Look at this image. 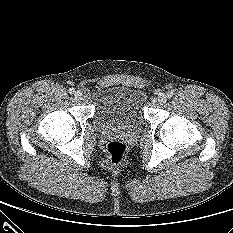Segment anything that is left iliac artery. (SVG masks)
Returning a JSON list of instances; mask_svg holds the SVG:
<instances>
[{
  "mask_svg": "<svg viewBox=\"0 0 233 233\" xmlns=\"http://www.w3.org/2000/svg\"><path fill=\"white\" fill-rule=\"evenodd\" d=\"M174 95L173 91H168L167 96L168 98H171Z\"/></svg>",
  "mask_w": 233,
  "mask_h": 233,
  "instance_id": "44dca946",
  "label": "left iliac artery"
}]
</instances>
